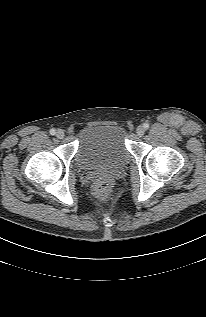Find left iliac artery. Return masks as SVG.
<instances>
[{
	"label": "left iliac artery",
	"mask_w": 206,
	"mask_h": 317,
	"mask_svg": "<svg viewBox=\"0 0 206 317\" xmlns=\"http://www.w3.org/2000/svg\"><path fill=\"white\" fill-rule=\"evenodd\" d=\"M143 127H144L145 129H148V128H149V124H148V123H144V124H143Z\"/></svg>",
	"instance_id": "1"
}]
</instances>
